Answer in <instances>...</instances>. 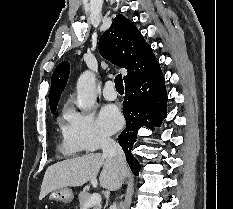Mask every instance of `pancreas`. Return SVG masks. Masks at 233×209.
<instances>
[{
    "label": "pancreas",
    "mask_w": 233,
    "mask_h": 209,
    "mask_svg": "<svg viewBox=\"0 0 233 209\" xmlns=\"http://www.w3.org/2000/svg\"><path fill=\"white\" fill-rule=\"evenodd\" d=\"M90 194L87 191H81L78 195V200H79V204L80 207L83 209V207L85 206L86 201L90 198ZM88 209H101V205L97 204V205H93L91 207H89Z\"/></svg>",
    "instance_id": "1"
}]
</instances>
